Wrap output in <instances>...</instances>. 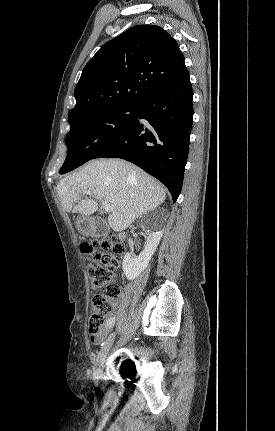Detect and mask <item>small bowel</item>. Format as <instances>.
<instances>
[{"mask_svg": "<svg viewBox=\"0 0 275 431\" xmlns=\"http://www.w3.org/2000/svg\"><path fill=\"white\" fill-rule=\"evenodd\" d=\"M107 326V325H106ZM108 329V328H107ZM106 336V330L105 331H103L101 334H99L98 336H96V337H91V342L93 343V344H96V345H98V344H100L101 343V341L104 339V337Z\"/></svg>", "mask_w": 275, "mask_h": 431, "instance_id": "obj_1", "label": "small bowel"}]
</instances>
